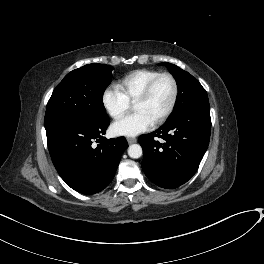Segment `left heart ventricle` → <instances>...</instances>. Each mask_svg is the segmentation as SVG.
<instances>
[{
    "mask_svg": "<svg viewBox=\"0 0 264 264\" xmlns=\"http://www.w3.org/2000/svg\"><path fill=\"white\" fill-rule=\"evenodd\" d=\"M173 93V85L168 77H162L155 84L149 98L134 104L135 112H143L156 121L168 108Z\"/></svg>",
    "mask_w": 264,
    "mask_h": 264,
    "instance_id": "1",
    "label": "left heart ventricle"
}]
</instances>
